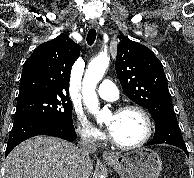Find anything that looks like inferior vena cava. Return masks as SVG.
<instances>
[{
	"instance_id": "1",
	"label": "inferior vena cava",
	"mask_w": 194,
	"mask_h": 178,
	"mask_svg": "<svg viewBox=\"0 0 194 178\" xmlns=\"http://www.w3.org/2000/svg\"><path fill=\"white\" fill-rule=\"evenodd\" d=\"M97 145L88 135H83L79 142V153L82 162L90 159V154L96 151ZM73 178H85L83 168L80 166Z\"/></svg>"
}]
</instances>
